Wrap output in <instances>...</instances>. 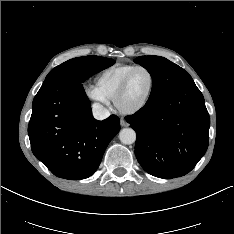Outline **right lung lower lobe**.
Returning a JSON list of instances; mask_svg holds the SVG:
<instances>
[{
    "label": "right lung lower lobe",
    "mask_w": 234,
    "mask_h": 234,
    "mask_svg": "<svg viewBox=\"0 0 234 234\" xmlns=\"http://www.w3.org/2000/svg\"><path fill=\"white\" fill-rule=\"evenodd\" d=\"M119 130L115 115L94 119L82 83L71 74L45 80L32 103L28 126L32 152L60 178L91 176Z\"/></svg>",
    "instance_id": "98d812e1"
}]
</instances>
